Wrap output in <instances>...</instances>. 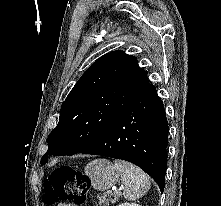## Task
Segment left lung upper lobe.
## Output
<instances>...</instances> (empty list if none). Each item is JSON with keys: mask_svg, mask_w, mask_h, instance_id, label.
I'll return each mask as SVG.
<instances>
[{"mask_svg": "<svg viewBox=\"0 0 221 206\" xmlns=\"http://www.w3.org/2000/svg\"><path fill=\"white\" fill-rule=\"evenodd\" d=\"M137 59L110 52L92 64L61 106L59 123L48 136L51 155H73L91 144L151 85Z\"/></svg>", "mask_w": 221, "mask_h": 206, "instance_id": "obj_1", "label": "left lung upper lobe"}]
</instances>
